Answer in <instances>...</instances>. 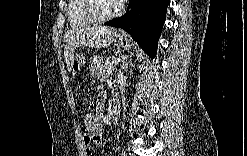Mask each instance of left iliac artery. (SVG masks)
Wrapping results in <instances>:
<instances>
[{
    "label": "left iliac artery",
    "mask_w": 247,
    "mask_h": 156,
    "mask_svg": "<svg viewBox=\"0 0 247 156\" xmlns=\"http://www.w3.org/2000/svg\"><path fill=\"white\" fill-rule=\"evenodd\" d=\"M122 155H123V156H125V155H126L125 151H123V152H122Z\"/></svg>",
    "instance_id": "obj_1"
}]
</instances>
